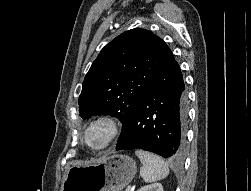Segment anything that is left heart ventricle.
<instances>
[{
  "label": "left heart ventricle",
  "instance_id": "left-heart-ventricle-1",
  "mask_svg": "<svg viewBox=\"0 0 251 191\" xmlns=\"http://www.w3.org/2000/svg\"><path fill=\"white\" fill-rule=\"evenodd\" d=\"M82 139L88 148L99 150L106 144L108 132L104 125L95 124L84 132Z\"/></svg>",
  "mask_w": 251,
  "mask_h": 191
}]
</instances>
